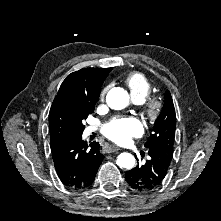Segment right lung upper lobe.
I'll return each instance as SVG.
<instances>
[{
	"instance_id": "obj_1",
	"label": "right lung upper lobe",
	"mask_w": 221,
	"mask_h": 221,
	"mask_svg": "<svg viewBox=\"0 0 221 221\" xmlns=\"http://www.w3.org/2000/svg\"><path fill=\"white\" fill-rule=\"evenodd\" d=\"M112 68H84L69 74L61 84L49 113L51 148L76 136L73 102L96 103L101 86Z\"/></svg>"
}]
</instances>
